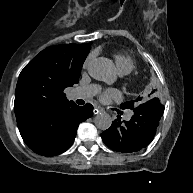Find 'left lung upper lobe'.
Listing matches in <instances>:
<instances>
[{
    "label": "left lung upper lobe",
    "mask_w": 193,
    "mask_h": 193,
    "mask_svg": "<svg viewBox=\"0 0 193 193\" xmlns=\"http://www.w3.org/2000/svg\"><path fill=\"white\" fill-rule=\"evenodd\" d=\"M155 92V90H153L152 92H151V94H153ZM140 100H142V97H140V98H138L137 99V101H140ZM153 100V99H152ZM155 100H158V99H156V98H154V101ZM123 106H125V107H130V108H132L133 106H134V101H129V102H126V103H123L122 104Z\"/></svg>",
    "instance_id": "5c2ea615"
}]
</instances>
